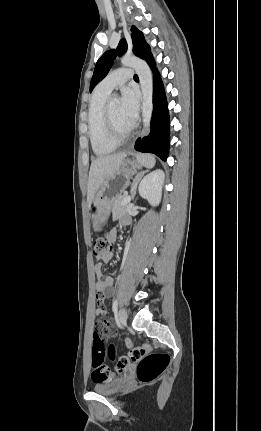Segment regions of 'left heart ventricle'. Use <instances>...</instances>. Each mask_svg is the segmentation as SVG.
<instances>
[{
	"mask_svg": "<svg viewBox=\"0 0 261 431\" xmlns=\"http://www.w3.org/2000/svg\"><path fill=\"white\" fill-rule=\"evenodd\" d=\"M111 120L120 134L126 133L130 127L125 123L120 112V105L115 102L109 105Z\"/></svg>",
	"mask_w": 261,
	"mask_h": 431,
	"instance_id": "1",
	"label": "left heart ventricle"
}]
</instances>
